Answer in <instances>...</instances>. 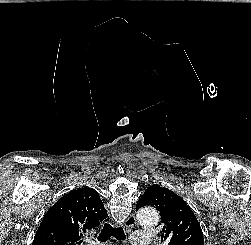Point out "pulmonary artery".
I'll return each mask as SVG.
<instances>
[{
    "label": "pulmonary artery",
    "instance_id": "obj_1",
    "mask_svg": "<svg viewBox=\"0 0 251 245\" xmlns=\"http://www.w3.org/2000/svg\"><path fill=\"white\" fill-rule=\"evenodd\" d=\"M131 243L133 245H151L153 244L152 236L140 231L133 232L131 234Z\"/></svg>",
    "mask_w": 251,
    "mask_h": 245
}]
</instances>
